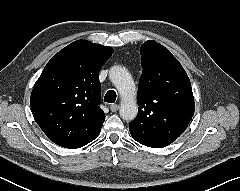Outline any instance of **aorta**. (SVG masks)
Wrapping results in <instances>:
<instances>
[{
    "label": "aorta",
    "instance_id": "obj_1",
    "mask_svg": "<svg viewBox=\"0 0 240 191\" xmlns=\"http://www.w3.org/2000/svg\"><path fill=\"white\" fill-rule=\"evenodd\" d=\"M109 78L121 95L120 116L123 120L132 121L138 114L135 98V85L125 67L115 65L111 67Z\"/></svg>",
    "mask_w": 240,
    "mask_h": 191
}]
</instances>
